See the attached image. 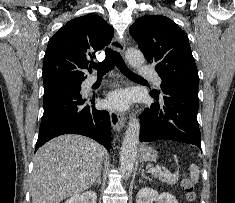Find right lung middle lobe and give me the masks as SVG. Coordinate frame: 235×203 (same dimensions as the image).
<instances>
[{"mask_svg":"<svg viewBox=\"0 0 235 203\" xmlns=\"http://www.w3.org/2000/svg\"><path fill=\"white\" fill-rule=\"evenodd\" d=\"M82 82H61L44 86V102L57 98L71 91L81 90Z\"/></svg>","mask_w":235,"mask_h":203,"instance_id":"obj_1","label":"right lung middle lobe"}]
</instances>
